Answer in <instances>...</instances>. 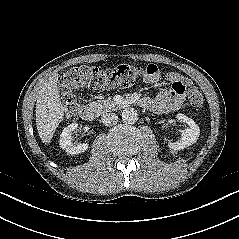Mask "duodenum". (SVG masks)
<instances>
[{"mask_svg":"<svg viewBox=\"0 0 239 239\" xmlns=\"http://www.w3.org/2000/svg\"><path fill=\"white\" fill-rule=\"evenodd\" d=\"M139 104L143 108H147V105H148L146 99L140 100ZM78 112H79V116L85 121H92L95 117V112L93 108L89 105L80 106Z\"/></svg>","mask_w":239,"mask_h":239,"instance_id":"obj_1","label":"duodenum"}]
</instances>
